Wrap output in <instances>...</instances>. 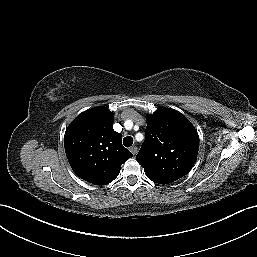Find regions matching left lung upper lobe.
Instances as JSON below:
<instances>
[{
	"label": "left lung upper lobe",
	"instance_id": "5c2ea615",
	"mask_svg": "<svg viewBox=\"0 0 257 257\" xmlns=\"http://www.w3.org/2000/svg\"><path fill=\"white\" fill-rule=\"evenodd\" d=\"M199 150L195 127L176 110L160 109L147 118L146 137L136 160L147 177L169 184L186 175Z\"/></svg>",
	"mask_w": 257,
	"mask_h": 257
}]
</instances>
